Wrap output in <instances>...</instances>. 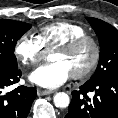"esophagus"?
Segmentation results:
<instances>
[{
	"mask_svg": "<svg viewBox=\"0 0 118 118\" xmlns=\"http://www.w3.org/2000/svg\"><path fill=\"white\" fill-rule=\"evenodd\" d=\"M37 93H38L39 96H45V95H50L53 92L48 91V90H43V89H37Z\"/></svg>",
	"mask_w": 118,
	"mask_h": 118,
	"instance_id": "34e87169",
	"label": "esophagus"
}]
</instances>
